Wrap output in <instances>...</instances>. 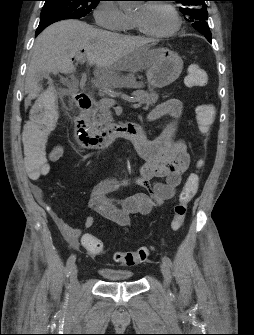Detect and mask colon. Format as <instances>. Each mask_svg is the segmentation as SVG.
<instances>
[{
    "label": "colon",
    "mask_w": 254,
    "mask_h": 335,
    "mask_svg": "<svg viewBox=\"0 0 254 335\" xmlns=\"http://www.w3.org/2000/svg\"><path fill=\"white\" fill-rule=\"evenodd\" d=\"M207 81V74L199 64H191L188 67L186 85L188 87H199ZM59 114V103L54 93H46L37 104L32 113L31 120L26 124L23 131V172L26 178L48 177V151H46V139L49 132L55 127ZM196 118L200 131L208 133L215 117V107L212 104H201L195 109ZM203 165L202 160L198 167ZM200 184L199 173L188 176L184 186L178 194L173 209L171 227L180 230L185 222L187 206L196 194ZM84 247L94 255H102L104 246L101 240L94 236L83 238ZM151 248L143 246L136 250L118 251L114 254V261L124 266H135L147 261L151 254Z\"/></svg>",
    "instance_id": "colon-1"
}]
</instances>
